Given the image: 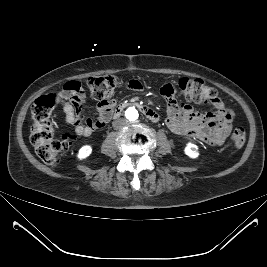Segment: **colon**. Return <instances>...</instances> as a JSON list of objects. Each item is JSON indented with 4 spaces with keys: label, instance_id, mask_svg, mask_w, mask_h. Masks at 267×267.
I'll list each match as a JSON object with an SVG mask.
<instances>
[{
    "label": "colon",
    "instance_id": "1",
    "mask_svg": "<svg viewBox=\"0 0 267 267\" xmlns=\"http://www.w3.org/2000/svg\"><path fill=\"white\" fill-rule=\"evenodd\" d=\"M91 96L100 103H107L119 86V81L112 75L90 77L86 81ZM182 96L188 102L198 104L214 102L217 91L201 79L183 77L178 81ZM57 104L55 94H47L38 98L32 106L33 124L30 141L38 157L47 164H55L67 152L73 136L65 133L59 138L54 137L51 113ZM246 131L243 127L234 129L231 142L235 148L243 147Z\"/></svg>",
    "mask_w": 267,
    "mask_h": 267
}]
</instances>
